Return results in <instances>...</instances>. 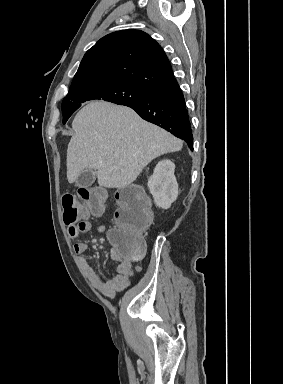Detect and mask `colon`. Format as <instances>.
Here are the masks:
<instances>
[{"mask_svg":"<svg viewBox=\"0 0 283 384\" xmlns=\"http://www.w3.org/2000/svg\"><path fill=\"white\" fill-rule=\"evenodd\" d=\"M107 198V191L100 188H80L66 193L62 199L65 224L76 226L89 214L103 213ZM151 219L148 202L139 188L126 186L116 192V211L109 239L122 259L135 261L144 256L143 231Z\"/></svg>","mask_w":283,"mask_h":384,"instance_id":"1","label":"colon"}]
</instances>
